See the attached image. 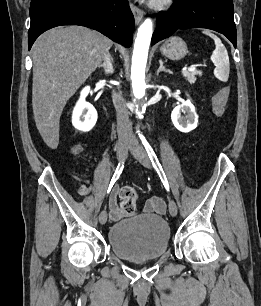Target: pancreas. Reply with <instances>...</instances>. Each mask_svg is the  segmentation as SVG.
Masks as SVG:
<instances>
[{
  "label": "pancreas",
  "instance_id": "1",
  "mask_svg": "<svg viewBox=\"0 0 261 306\" xmlns=\"http://www.w3.org/2000/svg\"><path fill=\"white\" fill-rule=\"evenodd\" d=\"M201 75H202V72H200V71H192V72L185 71V72H183V76L186 78V80L189 83H194L196 81V76H201Z\"/></svg>",
  "mask_w": 261,
  "mask_h": 306
}]
</instances>
